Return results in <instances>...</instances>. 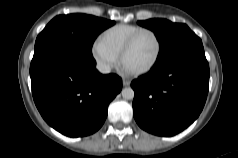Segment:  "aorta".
<instances>
[{"mask_svg": "<svg viewBox=\"0 0 238 158\" xmlns=\"http://www.w3.org/2000/svg\"><path fill=\"white\" fill-rule=\"evenodd\" d=\"M121 93L124 99L131 100L134 98V90L130 87L124 88Z\"/></svg>", "mask_w": 238, "mask_h": 158, "instance_id": "obj_1", "label": "aorta"}]
</instances>
